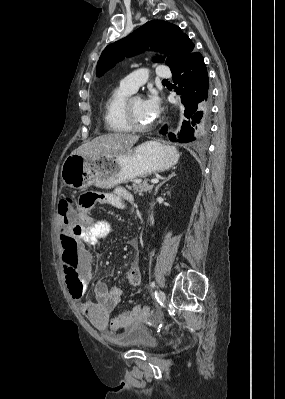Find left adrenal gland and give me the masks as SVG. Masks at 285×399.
Returning a JSON list of instances; mask_svg holds the SVG:
<instances>
[{
    "mask_svg": "<svg viewBox=\"0 0 285 399\" xmlns=\"http://www.w3.org/2000/svg\"><path fill=\"white\" fill-rule=\"evenodd\" d=\"M176 176V173L175 172H172L170 175H169V177L167 178V179H165L164 181H162L157 187H156V189H155V195L157 194V192H158V190H159V188L164 184V183H166L167 181H169L171 178H173V177H175Z\"/></svg>",
    "mask_w": 285,
    "mask_h": 399,
    "instance_id": "obj_1",
    "label": "left adrenal gland"
}]
</instances>
